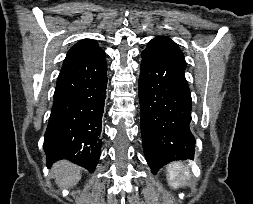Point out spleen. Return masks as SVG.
I'll use <instances>...</instances> for the list:
<instances>
[{"instance_id":"3e777b00","label":"spleen","mask_w":253,"mask_h":204,"mask_svg":"<svg viewBox=\"0 0 253 204\" xmlns=\"http://www.w3.org/2000/svg\"><path fill=\"white\" fill-rule=\"evenodd\" d=\"M166 169L168 183L174 189H178L191 176L188 167L180 161L170 163Z\"/></svg>"}]
</instances>
